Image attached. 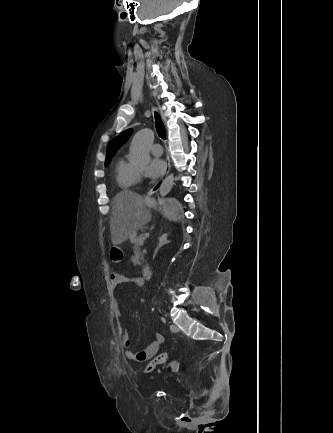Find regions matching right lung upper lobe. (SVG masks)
Here are the masks:
<instances>
[{"label": "right lung upper lobe", "instance_id": "cb5924a9", "mask_svg": "<svg viewBox=\"0 0 333 433\" xmlns=\"http://www.w3.org/2000/svg\"><path fill=\"white\" fill-rule=\"evenodd\" d=\"M132 132V129H127L110 142L107 149L105 165L110 163L112 157L115 155L117 150L129 139Z\"/></svg>", "mask_w": 333, "mask_h": 433}]
</instances>
